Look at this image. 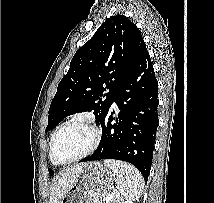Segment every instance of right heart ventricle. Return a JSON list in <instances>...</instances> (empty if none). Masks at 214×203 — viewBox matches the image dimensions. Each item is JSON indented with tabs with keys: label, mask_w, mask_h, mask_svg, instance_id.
<instances>
[{
	"label": "right heart ventricle",
	"mask_w": 214,
	"mask_h": 203,
	"mask_svg": "<svg viewBox=\"0 0 214 203\" xmlns=\"http://www.w3.org/2000/svg\"><path fill=\"white\" fill-rule=\"evenodd\" d=\"M56 132V130L52 133V135H51V139H50V146H51V141H52V138H53V135H54V133Z\"/></svg>",
	"instance_id": "obj_1"
}]
</instances>
